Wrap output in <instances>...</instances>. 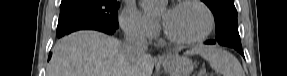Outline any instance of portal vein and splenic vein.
I'll use <instances>...</instances> for the list:
<instances>
[{
  "label": "portal vein and splenic vein",
  "mask_w": 287,
  "mask_h": 76,
  "mask_svg": "<svg viewBox=\"0 0 287 76\" xmlns=\"http://www.w3.org/2000/svg\"><path fill=\"white\" fill-rule=\"evenodd\" d=\"M203 73H205V72H204V71H202V72H201V74H199V76H203V75H204Z\"/></svg>",
  "instance_id": "18ae733b"
}]
</instances>
